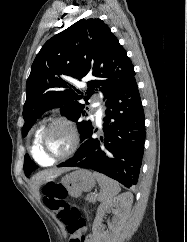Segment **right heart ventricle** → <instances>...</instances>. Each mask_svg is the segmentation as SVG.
Instances as JSON below:
<instances>
[{"instance_id":"e07e8e85","label":"right heart ventricle","mask_w":187,"mask_h":242,"mask_svg":"<svg viewBox=\"0 0 187 242\" xmlns=\"http://www.w3.org/2000/svg\"><path fill=\"white\" fill-rule=\"evenodd\" d=\"M43 126H40L34 136H33V140H32V146H31V153L33 158L42 166H49L51 165L53 162L50 161L48 158L44 157L42 155V153L40 152L39 146H38V140H39V136L43 130Z\"/></svg>"}]
</instances>
